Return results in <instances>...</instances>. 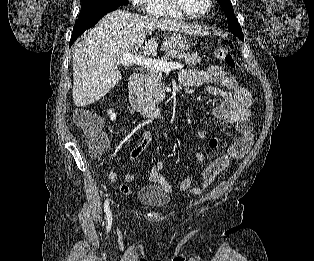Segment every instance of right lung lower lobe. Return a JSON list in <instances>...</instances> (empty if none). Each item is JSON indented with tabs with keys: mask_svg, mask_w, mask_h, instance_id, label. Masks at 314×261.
<instances>
[{
	"mask_svg": "<svg viewBox=\"0 0 314 261\" xmlns=\"http://www.w3.org/2000/svg\"><path fill=\"white\" fill-rule=\"evenodd\" d=\"M117 7H111L107 10L101 11L96 13L95 15L83 19V20H78L73 28L71 40H70V46L74 43V41L87 29L91 28L94 26L105 14L116 10Z\"/></svg>",
	"mask_w": 314,
	"mask_h": 261,
	"instance_id": "obj_1",
	"label": "right lung lower lobe"
}]
</instances>
